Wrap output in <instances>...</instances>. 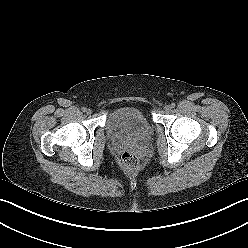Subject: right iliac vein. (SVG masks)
Returning a JSON list of instances; mask_svg holds the SVG:
<instances>
[{"label":"right iliac vein","instance_id":"63e3f726","mask_svg":"<svg viewBox=\"0 0 248 248\" xmlns=\"http://www.w3.org/2000/svg\"><path fill=\"white\" fill-rule=\"evenodd\" d=\"M86 113H87V114H91V109H87V110H86Z\"/></svg>","mask_w":248,"mask_h":248}]
</instances>
